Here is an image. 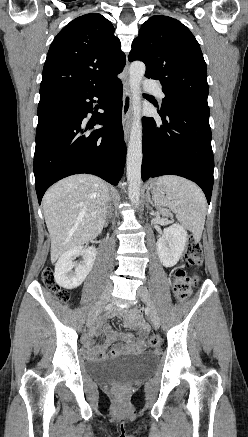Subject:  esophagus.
<instances>
[{
  "label": "esophagus",
  "instance_id": "obj_1",
  "mask_svg": "<svg viewBox=\"0 0 248 437\" xmlns=\"http://www.w3.org/2000/svg\"><path fill=\"white\" fill-rule=\"evenodd\" d=\"M125 77L123 80V107H122V124L125 140L129 138L131 127V108H132V93L129 86L128 62L124 68Z\"/></svg>",
  "mask_w": 248,
  "mask_h": 437
}]
</instances>
